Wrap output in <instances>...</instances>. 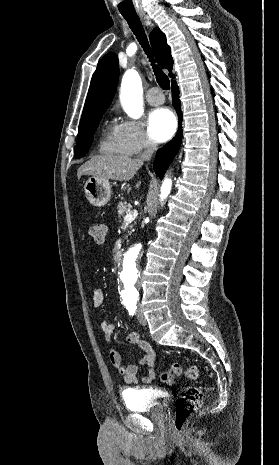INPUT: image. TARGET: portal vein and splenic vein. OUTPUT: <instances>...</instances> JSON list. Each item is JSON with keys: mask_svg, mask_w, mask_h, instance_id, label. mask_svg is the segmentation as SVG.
<instances>
[{"mask_svg": "<svg viewBox=\"0 0 279 465\" xmlns=\"http://www.w3.org/2000/svg\"><path fill=\"white\" fill-rule=\"evenodd\" d=\"M137 215H138L137 210L131 211V212H129V213H127V214L125 215L124 221H125V222H131V221H133V220L137 217Z\"/></svg>", "mask_w": 279, "mask_h": 465, "instance_id": "1", "label": "portal vein and splenic vein"}]
</instances>
